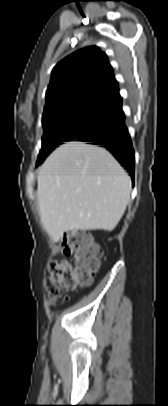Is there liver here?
Wrapping results in <instances>:
<instances>
[{
  "instance_id": "1",
  "label": "liver",
  "mask_w": 168,
  "mask_h": 406,
  "mask_svg": "<svg viewBox=\"0 0 168 406\" xmlns=\"http://www.w3.org/2000/svg\"><path fill=\"white\" fill-rule=\"evenodd\" d=\"M130 193V178L115 158L84 142L61 145L39 169L40 218L55 241L75 229L112 231Z\"/></svg>"
}]
</instances>
